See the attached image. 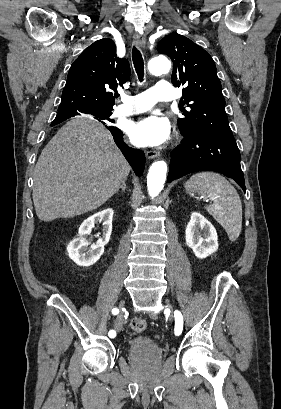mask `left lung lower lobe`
I'll return each mask as SVG.
<instances>
[{
  "instance_id": "1",
  "label": "left lung lower lobe",
  "mask_w": 281,
  "mask_h": 409,
  "mask_svg": "<svg viewBox=\"0 0 281 409\" xmlns=\"http://www.w3.org/2000/svg\"><path fill=\"white\" fill-rule=\"evenodd\" d=\"M240 158L233 136L199 130L184 135L182 144L172 151L167 181L192 172L211 170L234 179L245 192Z\"/></svg>"
}]
</instances>
